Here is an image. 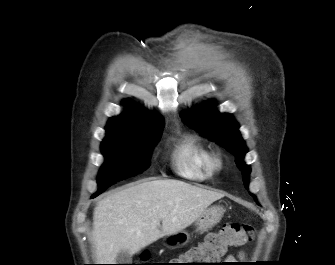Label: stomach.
<instances>
[{"instance_id": "0dacf381", "label": "stomach", "mask_w": 335, "mask_h": 265, "mask_svg": "<svg viewBox=\"0 0 335 265\" xmlns=\"http://www.w3.org/2000/svg\"><path fill=\"white\" fill-rule=\"evenodd\" d=\"M224 208L220 205H213L200 215L195 221L197 231L206 232L209 229L217 225L224 215ZM189 240V234L185 231H179L170 235H167L164 239L167 247H178L184 245Z\"/></svg>"}]
</instances>
